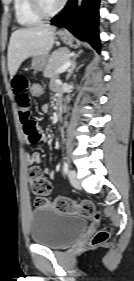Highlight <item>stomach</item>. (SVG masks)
Here are the masks:
<instances>
[{"label":"stomach","mask_w":134,"mask_h":281,"mask_svg":"<svg viewBox=\"0 0 134 281\" xmlns=\"http://www.w3.org/2000/svg\"><path fill=\"white\" fill-rule=\"evenodd\" d=\"M57 34L65 44L70 45L73 43V36L70 33L59 31ZM47 61V56H34L32 58V68L36 71H42L47 65Z\"/></svg>","instance_id":"obj_1"}]
</instances>
